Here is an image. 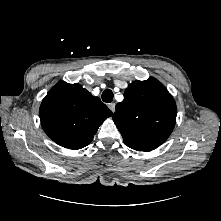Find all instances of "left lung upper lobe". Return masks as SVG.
Instances as JSON below:
<instances>
[{"label":"left lung upper lobe","mask_w":221,"mask_h":221,"mask_svg":"<svg viewBox=\"0 0 221 221\" xmlns=\"http://www.w3.org/2000/svg\"><path fill=\"white\" fill-rule=\"evenodd\" d=\"M176 115L171 94L162 83L150 77L129 84L112 118L128 147L151 151L170 136Z\"/></svg>","instance_id":"5c2ea615"}]
</instances>
